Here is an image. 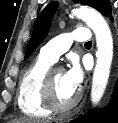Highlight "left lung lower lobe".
<instances>
[{
	"label": "left lung lower lobe",
	"instance_id": "left-lung-lower-lobe-1",
	"mask_svg": "<svg viewBox=\"0 0 118 123\" xmlns=\"http://www.w3.org/2000/svg\"><path fill=\"white\" fill-rule=\"evenodd\" d=\"M71 123H118V100L116 90L110 105L104 110H91L85 116L81 115Z\"/></svg>",
	"mask_w": 118,
	"mask_h": 123
}]
</instances>
